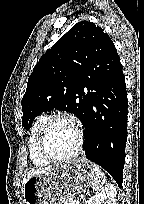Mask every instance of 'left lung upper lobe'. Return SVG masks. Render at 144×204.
<instances>
[{"label": "left lung upper lobe", "mask_w": 144, "mask_h": 204, "mask_svg": "<svg viewBox=\"0 0 144 204\" xmlns=\"http://www.w3.org/2000/svg\"><path fill=\"white\" fill-rule=\"evenodd\" d=\"M117 59L104 29L88 21L74 25L35 65L21 102L22 126L29 130L36 116L53 109L71 112L83 122L88 68Z\"/></svg>", "instance_id": "1"}]
</instances>
